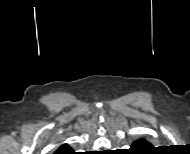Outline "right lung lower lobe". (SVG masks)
Returning <instances> with one entry per match:
<instances>
[{"instance_id": "98d812e1", "label": "right lung lower lobe", "mask_w": 190, "mask_h": 154, "mask_svg": "<svg viewBox=\"0 0 190 154\" xmlns=\"http://www.w3.org/2000/svg\"><path fill=\"white\" fill-rule=\"evenodd\" d=\"M56 154H74L72 149L58 151Z\"/></svg>"}]
</instances>
